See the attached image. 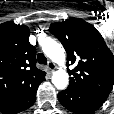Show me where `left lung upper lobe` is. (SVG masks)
<instances>
[{
	"label": "left lung upper lobe",
	"instance_id": "1",
	"mask_svg": "<svg viewBox=\"0 0 114 114\" xmlns=\"http://www.w3.org/2000/svg\"><path fill=\"white\" fill-rule=\"evenodd\" d=\"M50 31L67 52L70 88L85 90L106 97L114 84V56L97 29L79 18L52 23Z\"/></svg>",
	"mask_w": 114,
	"mask_h": 114
}]
</instances>
